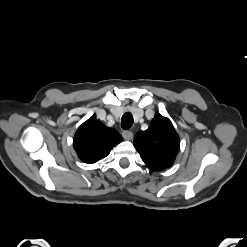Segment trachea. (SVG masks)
<instances>
[{
    "mask_svg": "<svg viewBox=\"0 0 247 247\" xmlns=\"http://www.w3.org/2000/svg\"><path fill=\"white\" fill-rule=\"evenodd\" d=\"M133 121V116L130 113H125L121 118V127L124 130H128L132 127Z\"/></svg>",
    "mask_w": 247,
    "mask_h": 247,
    "instance_id": "obj_1",
    "label": "trachea"
}]
</instances>
